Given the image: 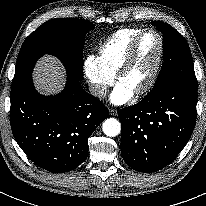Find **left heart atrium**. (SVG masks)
<instances>
[{
    "label": "left heart atrium",
    "mask_w": 206,
    "mask_h": 206,
    "mask_svg": "<svg viewBox=\"0 0 206 206\" xmlns=\"http://www.w3.org/2000/svg\"><path fill=\"white\" fill-rule=\"evenodd\" d=\"M133 92L121 83H118L111 93V102L115 105H121L129 101Z\"/></svg>",
    "instance_id": "39dd6f15"
}]
</instances>
